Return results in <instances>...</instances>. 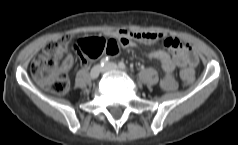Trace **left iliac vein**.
<instances>
[{"label": "left iliac vein", "mask_w": 238, "mask_h": 145, "mask_svg": "<svg viewBox=\"0 0 238 145\" xmlns=\"http://www.w3.org/2000/svg\"><path fill=\"white\" fill-rule=\"evenodd\" d=\"M119 67L117 64L115 63H108L107 65H105V67L103 68V72H108V71H118Z\"/></svg>", "instance_id": "4c4485c4"}]
</instances>
